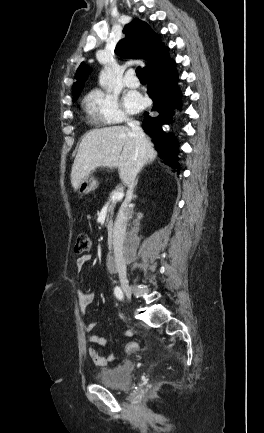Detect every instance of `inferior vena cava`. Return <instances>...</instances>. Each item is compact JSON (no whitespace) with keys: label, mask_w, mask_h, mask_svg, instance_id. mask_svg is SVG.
<instances>
[{"label":"inferior vena cava","mask_w":264,"mask_h":433,"mask_svg":"<svg viewBox=\"0 0 264 433\" xmlns=\"http://www.w3.org/2000/svg\"><path fill=\"white\" fill-rule=\"evenodd\" d=\"M127 124L130 127L135 139V143H136L135 152L137 157V163H136L135 172L133 173L128 183L126 200L122 204V208L120 210L118 221H117V224L119 225V229L117 232V241H116L117 249L115 252V260H116V268L119 274V278H126V262L124 261L125 255L123 249V244L124 242H126V237L128 236V232L125 230L126 228L124 225L125 221L127 220L126 210L133 196L136 175L145 164V151H146V138L142 128L140 127V123L138 121H128Z\"/></svg>","instance_id":"inferior-vena-cava-1"}]
</instances>
